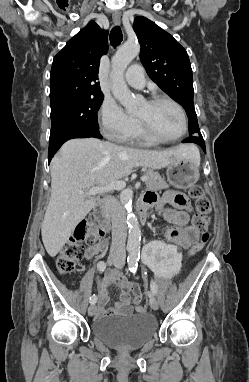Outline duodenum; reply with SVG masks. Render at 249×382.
I'll use <instances>...</instances> for the list:
<instances>
[{
	"label": "duodenum",
	"mask_w": 249,
	"mask_h": 382,
	"mask_svg": "<svg viewBox=\"0 0 249 382\" xmlns=\"http://www.w3.org/2000/svg\"><path fill=\"white\" fill-rule=\"evenodd\" d=\"M137 212L141 222L147 221L148 205L144 201H140L137 204ZM93 213L97 221L102 227V233L105 234L109 231L110 222L104 211V205L102 201H99L95 204Z\"/></svg>",
	"instance_id": "410a0bca"
}]
</instances>
